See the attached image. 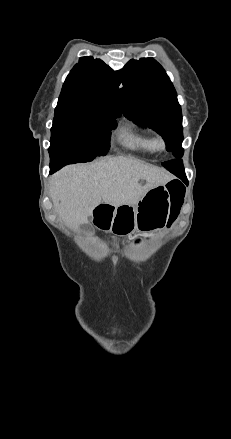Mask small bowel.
Returning a JSON list of instances; mask_svg holds the SVG:
<instances>
[{
  "mask_svg": "<svg viewBox=\"0 0 231 439\" xmlns=\"http://www.w3.org/2000/svg\"><path fill=\"white\" fill-rule=\"evenodd\" d=\"M125 208H127V209H128V208L132 209V207H129V206H125Z\"/></svg>",
  "mask_w": 231,
  "mask_h": 439,
  "instance_id": "obj_1",
  "label": "small bowel"
}]
</instances>
